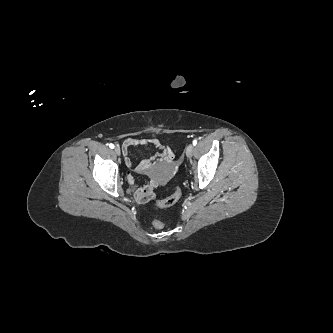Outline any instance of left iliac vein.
Wrapping results in <instances>:
<instances>
[{
  "mask_svg": "<svg viewBox=\"0 0 333 333\" xmlns=\"http://www.w3.org/2000/svg\"><path fill=\"white\" fill-rule=\"evenodd\" d=\"M193 151H194V146L192 144H189L186 148V155L188 157H191L193 155Z\"/></svg>",
  "mask_w": 333,
  "mask_h": 333,
  "instance_id": "left-iliac-vein-1",
  "label": "left iliac vein"
}]
</instances>
